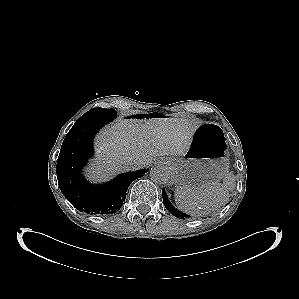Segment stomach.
<instances>
[{
    "label": "stomach",
    "instance_id": "0dacf381",
    "mask_svg": "<svg viewBox=\"0 0 299 299\" xmlns=\"http://www.w3.org/2000/svg\"><path fill=\"white\" fill-rule=\"evenodd\" d=\"M175 181L191 189H203L219 182L229 169L228 151L221 128L211 122L200 124L189 149L181 156L168 157Z\"/></svg>",
    "mask_w": 299,
    "mask_h": 299
}]
</instances>
